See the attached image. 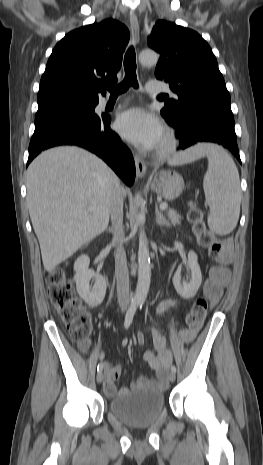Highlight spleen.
<instances>
[{
  "label": "spleen",
  "instance_id": "1",
  "mask_svg": "<svg viewBox=\"0 0 263 465\" xmlns=\"http://www.w3.org/2000/svg\"><path fill=\"white\" fill-rule=\"evenodd\" d=\"M208 158L203 187L209 205V228L218 235H227L236 227L240 214L241 190L238 169L229 154L215 144L201 143L179 153L169 161L179 165Z\"/></svg>",
  "mask_w": 263,
  "mask_h": 465
}]
</instances>
